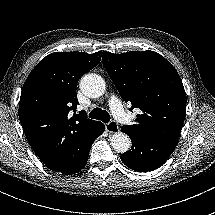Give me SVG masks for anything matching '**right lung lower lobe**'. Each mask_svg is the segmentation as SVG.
Listing matches in <instances>:
<instances>
[{
  "instance_id": "obj_1",
  "label": "right lung lower lobe",
  "mask_w": 215,
  "mask_h": 215,
  "mask_svg": "<svg viewBox=\"0 0 215 215\" xmlns=\"http://www.w3.org/2000/svg\"><path fill=\"white\" fill-rule=\"evenodd\" d=\"M105 130L103 123L95 121L86 129L75 135L69 141L67 158L58 168H50L62 174L69 175L80 171L86 164L93 141Z\"/></svg>"
}]
</instances>
